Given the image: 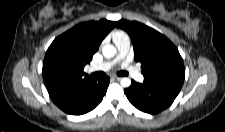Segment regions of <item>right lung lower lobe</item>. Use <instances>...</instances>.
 Wrapping results in <instances>:
<instances>
[{
    "instance_id": "right-lung-lower-lobe-1",
    "label": "right lung lower lobe",
    "mask_w": 225,
    "mask_h": 132,
    "mask_svg": "<svg viewBox=\"0 0 225 132\" xmlns=\"http://www.w3.org/2000/svg\"><path fill=\"white\" fill-rule=\"evenodd\" d=\"M109 85V77L94 78L80 90L53 101L61 110L72 115H81L93 110L103 99Z\"/></svg>"
}]
</instances>
